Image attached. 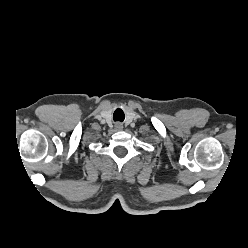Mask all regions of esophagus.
I'll use <instances>...</instances> for the list:
<instances>
[{"mask_svg": "<svg viewBox=\"0 0 248 248\" xmlns=\"http://www.w3.org/2000/svg\"><path fill=\"white\" fill-rule=\"evenodd\" d=\"M115 128H116L117 130H122L123 126H122V124H120V123H116Z\"/></svg>", "mask_w": 248, "mask_h": 248, "instance_id": "obj_1", "label": "esophagus"}]
</instances>
